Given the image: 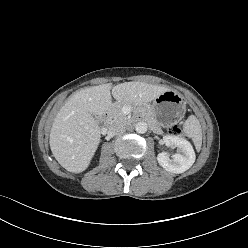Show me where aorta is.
<instances>
[{
	"label": "aorta",
	"instance_id": "aorta-1",
	"mask_svg": "<svg viewBox=\"0 0 248 248\" xmlns=\"http://www.w3.org/2000/svg\"><path fill=\"white\" fill-rule=\"evenodd\" d=\"M147 129H148V126L145 122H138L136 125H135V130L137 133L139 134H144L147 132Z\"/></svg>",
	"mask_w": 248,
	"mask_h": 248
}]
</instances>
